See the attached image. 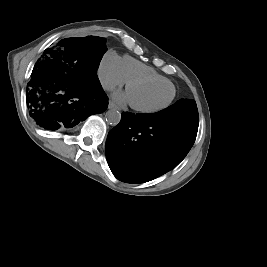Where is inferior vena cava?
<instances>
[{"label":"inferior vena cava","instance_id":"obj_1","mask_svg":"<svg viewBox=\"0 0 267 267\" xmlns=\"http://www.w3.org/2000/svg\"><path fill=\"white\" fill-rule=\"evenodd\" d=\"M102 85H103V88L106 90H113L114 89V86L109 84V83L103 82Z\"/></svg>","mask_w":267,"mask_h":267}]
</instances>
